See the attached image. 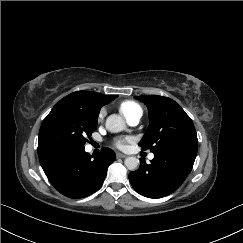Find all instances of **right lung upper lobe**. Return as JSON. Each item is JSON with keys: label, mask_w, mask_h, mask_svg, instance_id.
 <instances>
[{"label": "right lung upper lobe", "mask_w": 243, "mask_h": 243, "mask_svg": "<svg viewBox=\"0 0 243 243\" xmlns=\"http://www.w3.org/2000/svg\"><path fill=\"white\" fill-rule=\"evenodd\" d=\"M118 95H102L91 91H76L61 99L58 103L78 108L85 113L98 116L102 106L110 103Z\"/></svg>", "instance_id": "obj_1"}]
</instances>
